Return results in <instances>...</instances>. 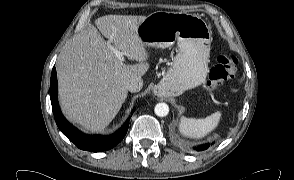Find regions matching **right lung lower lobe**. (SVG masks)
I'll list each match as a JSON object with an SVG mask.
<instances>
[{
	"label": "right lung lower lobe",
	"instance_id": "1",
	"mask_svg": "<svg viewBox=\"0 0 294 180\" xmlns=\"http://www.w3.org/2000/svg\"><path fill=\"white\" fill-rule=\"evenodd\" d=\"M50 99L56 124L61 132L78 148L86 151L103 152L116 146L126 135L129 121L110 136H87L74 128L61 114L57 100L56 69L53 67L50 81Z\"/></svg>",
	"mask_w": 294,
	"mask_h": 180
}]
</instances>
